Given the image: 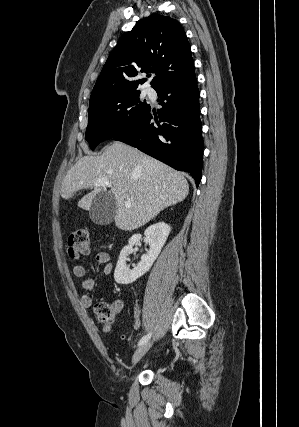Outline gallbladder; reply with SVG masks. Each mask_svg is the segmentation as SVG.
Masks as SVG:
<instances>
[{
	"label": "gallbladder",
	"mask_w": 299,
	"mask_h": 427,
	"mask_svg": "<svg viewBox=\"0 0 299 427\" xmlns=\"http://www.w3.org/2000/svg\"><path fill=\"white\" fill-rule=\"evenodd\" d=\"M116 215V204L113 195L101 191L93 199L89 210L90 219L98 225L110 224Z\"/></svg>",
	"instance_id": "1"
}]
</instances>
